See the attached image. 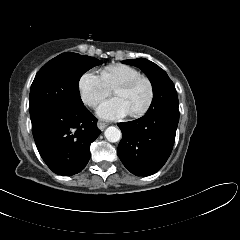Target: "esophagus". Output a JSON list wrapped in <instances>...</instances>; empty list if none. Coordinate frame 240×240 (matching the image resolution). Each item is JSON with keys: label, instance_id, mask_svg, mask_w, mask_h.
<instances>
[{"label": "esophagus", "instance_id": "34e87169", "mask_svg": "<svg viewBox=\"0 0 240 240\" xmlns=\"http://www.w3.org/2000/svg\"><path fill=\"white\" fill-rule=\"evenodd\" d=\"M97 126H98V128H99L100 130L103 131V130L108 126V123L99 121V122L97 123Z\"/></svg>", "mask_w": 240, "mask_h": 240}]
</instances>
